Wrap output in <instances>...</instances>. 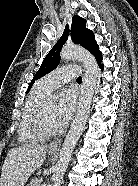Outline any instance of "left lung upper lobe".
Here are the masks:
<instances>
[{
  "mask_svg": "<svg viewBox=\"0 0 138 186\" xmlns=\"http://www.w3.org/2000/svg\"><path fill=\"white\" fill-rule=\"evenodd\" d=\"M69 31H70L69 26L66 25L63 35L61 36V38L57 41V43L54 45V47L50 50L48 55L43 60L40 66V69L37 71V73L33 77L28 87L27 92L29 91L30 87L33 85V83L37 79L51 72L58 66L60 62V51H61L62 45L65 43V41L68 38ZM71 33H72L73 41L75 43L80 44L81 46L86 48L88 51H90L95 56L99 65H102L101 64L102 53L99 51L93 32L86 28V20L79 16H74L72 18Z\"/></svg>",
  "mask_w": 138,
  "mask_h": 186,
  "instance_id": "obj_1",
  "label": "left lung upper lobe"
}]
</instances>
